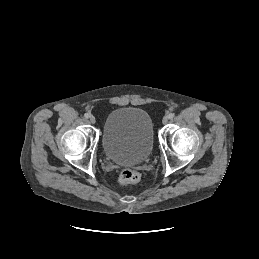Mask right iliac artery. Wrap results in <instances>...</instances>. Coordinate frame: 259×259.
<instances>
[{
    "label": "right iliac artery",
    "mask_w": 259,
    "mask_h": 259,
    "mask_svg": "<svg viewBox=\"0 0 259 259\" xmlns=\"http://www.w3.org/2000/svg\"><path fill=\"white\" fill-rule=\"evenodd\" d=\"M84 117H85V118H89L90 115H89L88 113H85V114H84Z\"/></svg>",
    "instance_id": "right-iliac-artery-1"
}]
</instances>
